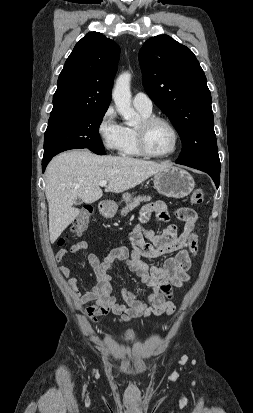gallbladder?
Segmentation results:
<instances>
[{"label":"gallbladder","mask_w":253,"mask_h":413,"mask_svg":"<svg viewBox=\"0 0 253 413\" xmlns=\"http://www.w3.org/2000/svg\"><path fill=\"white\" fill-rule=\"evenodd\" d=\"M76 205H80L81 204V200L80 199H76L74 202Z\"/></svg>","instance_id":"obj_1"}]
</instances>
